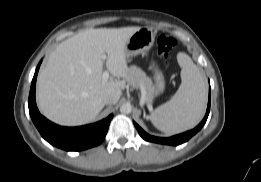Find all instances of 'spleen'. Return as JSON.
Wrapping results in <instances>:
<instances>
[{
    "mask_svg": "<svg viewBox=\"0 0 261 182\" xmlns=\"http://www.w3.org/2000/svg\"><path fill=\"white\" fill-rule=\"evenodd\" d=\"M181 67V85L167 103L150 115L153 125L166 134H176L196 126L202 119L207 89L199 68L185 53L177 55Z\"/></svg>",
    "mask_w": 261,
    "mask_h": 182,
    "instance_id": "spleen-1",
    "label": "spleen"
}]
</instances>
